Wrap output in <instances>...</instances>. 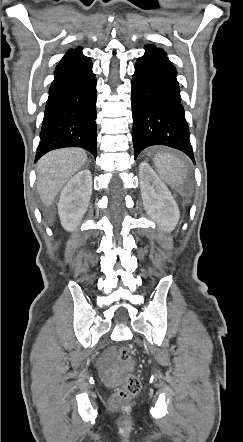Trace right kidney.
Listing matches in <instances>:
<instances>
[{
	"label": "right kidney",
	"instance_id": "ca27d5eb",
	"mask_svg": "<svg viewBox=\"0 0 243 442\" xmlns=\"http://www.w3.org/2000/svg\"><path fill=\"white\" fill-rule=\"evenodd\" d=\"M92 194V175L88 169L78 172L64 186L58 202L61 224L73 231L81 223Z\"/></svg>",
	"mask_w": 243,
	"mask_h": 442
}]
</instances>
